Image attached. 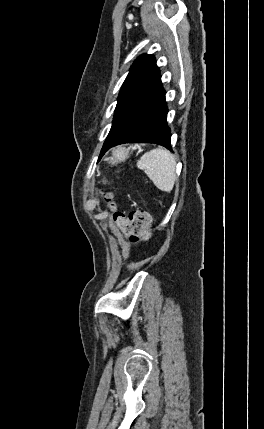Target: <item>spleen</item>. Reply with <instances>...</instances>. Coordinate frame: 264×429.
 <instances>
[{
    "instance_id": "1",
    "label": "spleen",
    "mask_w": 264,
    "mask_h": 429,
    "mask_svg": "<svg viewBox=\"0 0 264 429\" xmlns=\"http://www.w3.org/2000/svg\"><path fill=\"white\" fill-rule=\"evenodd\" d=\"M137 167L145 172L159 190L172 191L176 180V161L171 152L162 148L146 152L138 160Z\"/></svg>"
}]
</instances>
